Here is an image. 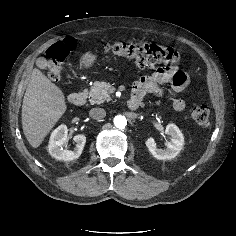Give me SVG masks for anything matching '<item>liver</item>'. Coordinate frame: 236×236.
Segmentation results:
<instances>
[{
  "label": "liver",
  "mask_w": 236,
  "mask_h": 236,
  "mask_svg": "<svg viewBox=\"0 0 236 236\" xmlns=\"http://www.w3.org/2000/svg\"><path fill=\"white\" fill-rule=\"evenodd\" d=\"M67 109L62 90L40 70L31 74L22 104V128L29 144L37 148Z\"/></svg>",
  "instance_id": "6515ba94"
}]
</instances>
